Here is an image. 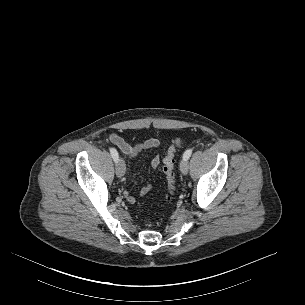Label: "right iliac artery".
I'll list each match as a JSON object with an SVG mask.
<instances>
[{
	"label": "right iliac artery",
	"mask_w": 305,
	"mask_h": 305,
	"mask_svg": "<svg viewBox=\"0 0 305 305\" xmlns=\"http://www.w3.org/2000/svg\"><path fill=\"white\" fill-rule=\"evenodd\" d=\"M110 153H111V156L114 159V161L117 162L119 156H118V152L116 151V149L115 148H110Z\"/></svg>",
	"instance_id": "82829eb1"
}]
</instances>
